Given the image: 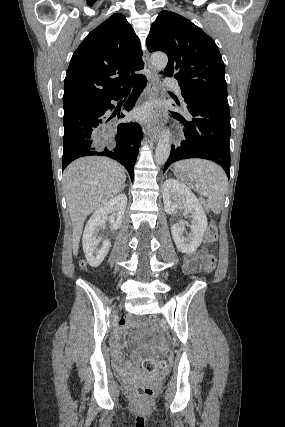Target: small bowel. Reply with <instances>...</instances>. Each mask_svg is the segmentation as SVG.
Masks as SVG:
<instances>
[{
  "label": "small bowel",
  "mask_w": 285,
  "mask_h": 427,
  "mask_svg": "<svg viewBox=\"0 0 285 427\" xmlns=\"http://www.w3.org/2000/svg\"><path fill=\"white\" fill-rule=\"evenodd\" d=\"M189 260H185L184 267H187V263ZM127 321L125 319H121L119 322V326L122 328L126 325ZM140 351L138 349H134L132 351L133 355H138ZM111 356L113 359L114 364L117 366V368L123 372H128L131 370V364L127 361H124L122 358V350L119 346L114 345L111 351Z\"/></svg>",
  "instance_id": "c3829d8e"
}]
</instances>
